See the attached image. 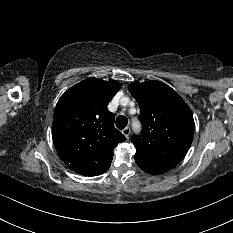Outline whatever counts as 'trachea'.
Returning <instances> with one entry per match:
<instances>
[{
  "label": "trachea",
  "mask_w": 233,
  "mask_h": 233,
  "mask_svg": "<svg viewBox=\"0 0 233 233\" xmlns=\"http://www.w3.org/2000/svg\"><path fill=\"white\" fill-rule=\"evenodd\" d=\"M128 123V119L125 116H118L116 119V127L118 129H124Z\"/></svg>",
  "instance_id": "obj_1"
}]
</instances>
